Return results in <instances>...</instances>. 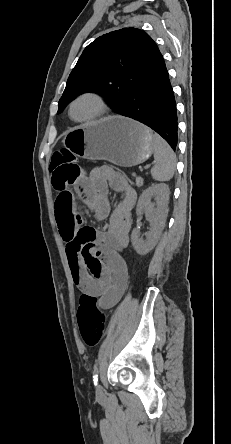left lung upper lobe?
<instances>
[{"label": "left lung upper lobe", "instance_id": "obj_1", "mask_svg": "<svg viewBox=\"0 0 231 444\" xmlns=\"http://www.w3.org/2000/svg\"><path fill=\"white\" fill-rule=\"evenodd\" d=\"M153 39L136 28L104 34L89 44L67 80L58 113L76 96L101 93L118 113L144 68L159 53Z\"/></svg>", "mask_w": 231, "mask_h": 444}]
</instances>
